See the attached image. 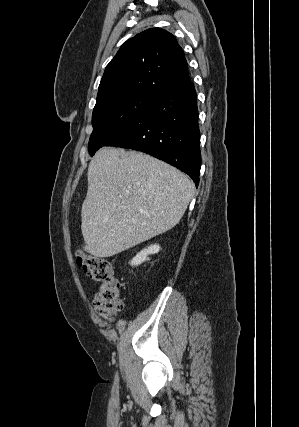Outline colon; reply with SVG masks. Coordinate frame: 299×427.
Segmentation results:
<instances>
[{"instance_id":"1","label":"colon","mask_w":299,"mask_h":427,"mask_svg":"<svg viewBox=\"0 0 299 427\" xmlns=\"http://www.w3.org/2000/svg\"><path fill=\"white\" fill-rule=\"evenodd\" d=\"M75 257L84 272L100 284L93 302L96 313L104 319H113L123 309V301L122 284L114 277L111 263L82 249L76 251Z\"/></svg>"}]
</instances>
